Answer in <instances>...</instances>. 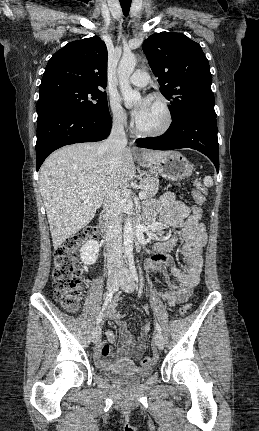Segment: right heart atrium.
<instances>
[{
    "label": "right heart atrium",
    "instance_id": "right-heart-atrium-1",
    "mask_svg": "<svg viewBox=\"0 0 259 431\" xmlns=\"http://www.w3.org/2000/svg\"><path fill=\"white\" fill-rule=\"evenodd\" d=\"M109 110L113 126L120 129L125 128L128 124V117L125 110L116 99H110Z\"/></svg>",
    "mask_w": 259,
    "mask_h": 431
}]
</instances>
